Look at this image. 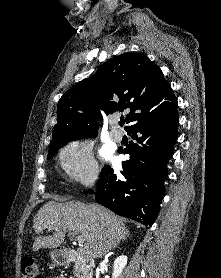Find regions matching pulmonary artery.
I'll list each match as a JSON object with an SVG mask.
<instances>
[{"instance_id": "1", "label": "pulmonary artery", "mask_w": 221, "mask_h": 278, "mask_svg": "<svg viewBox=\"0 0 221 278\" xmlns=\"http://www.w3.org/2000/svg\"><path fill=\"white\" fill-rule=\"evenodd\" d=\"M110 137L116 141L119 142L123 138L122 132L117 128V126H114L113 130L110 132Z\"/></svg>"}]
</instances>
